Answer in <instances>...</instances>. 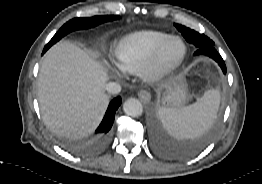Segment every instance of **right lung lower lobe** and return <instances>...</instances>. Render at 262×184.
Segmentation results:
<instances>
[{
	"label": "right lung lower lobe",
	"instance_id": "98d812e1",
	"mask_svg": "<svg viewBox=\"0 0 262 184\" xmlns=\"http://www.w3.org/2000/svg\"><path fill=\"white\" fill-rule=\"evenodd\" d=\"M120 104H121L120 97H116L110 102L106 114L101 124L96 130V137L94 140V146L96 148H102L104 145L107 144L110 136V129L114 122V115Z\"/></svg>",
	"mask_w": 262,
	"mask_h": 184
}]
</instances>
